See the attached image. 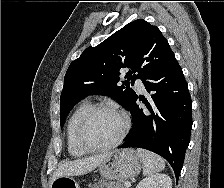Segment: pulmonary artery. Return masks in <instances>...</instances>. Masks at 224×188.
I'll list each match as a JSON object with an SVG mask.
<instances>
[{"label": "pulmonary artery", "mask_w": 224, "mask_h": 188, "mask_svg": "<svg viewBox=\"0 0 224 188\" xmlns=\"http://www.w3.org/2000/svg\"><path fill=\"white\" fill-rule=\"evenodd\" d=\"M135 86L140 91H144L145 90L144 85H143V83L141 81H136Z\"/></svg>", "instance_id": "pulmonary-artery-1"}]
</instances>
